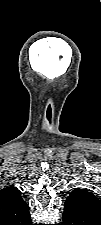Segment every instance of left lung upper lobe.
I'll use <instances>...</instances> for the list:
<instances>
[{
	"label": "left lung upper lobe",
	"mask_w": 101,
	"mask_h": 225,
	"mask_svg": "<svg viewBox=\"0 0 101 225\" xmlns=\"http://www.w3.org/2000/svg\"><path fill=\"white\" fill-rule=\"evenodd\" d=\"M64 205L66 211L87 214L101 219V202L95 195L84 189L73 190Z\"/></svg>",
	"instance_id": "left-lung-upper-lobe-1"
}]
</instances>
